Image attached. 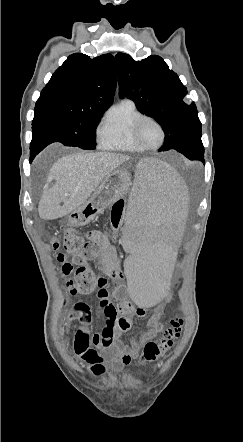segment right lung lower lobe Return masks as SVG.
Listing matches in <instances>:
<instances>
[{
    "label": "right lung lower lobe",
    "instance_id": "1",
    "mask_svg": "<svg viewBox=\"0 0 243 442\" xmlns=\"http://www.w3.org/2000/svg\"><path fill=\"white\" fill-rule=\"evenodd\" d=\"M49 141H33L30 144V159L32 160L36 154H38L41 150H43L47 145H49Z\"/></svg>",
    "mask_w": 243,
    "mask_h": 442
}]
</instances>
